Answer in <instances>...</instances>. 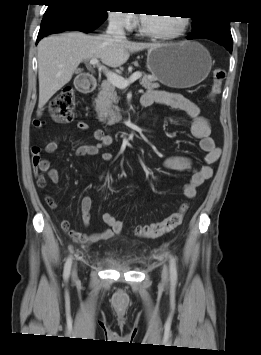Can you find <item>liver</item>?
I'll list each match as a JSON object with an SVG mask.
<instances>
[{"label": "liver", "instance_id": "6515ba94", "mask_svg": "<svg viewBox=\"0 0 261 355\" xmlns=\"http://www.w3.org/2000/svg\"><path fill=\"white\" fill-rule=\"evenodd\" d=\"M157 43L115 40L107 35L91 36L81 32L52 35L38 44L39 103L38 115L49 99L65 86L78 65L98 58L109 67H120L130 53L156 47Z\"/></svg>", "mask_w": 261, "mask_h": 355}]
</instances>
